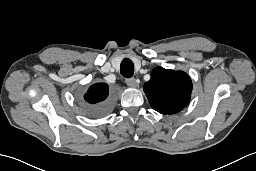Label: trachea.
Returning a JSON list of instances; mask_svg holds the SVG:
<instances>
[{"instance_id":"3493384b","label":"trachea","mask_w":256,"mask_h":171,"mask_svg":"<svg viewBox=\"0 0 256 171\" xmlns=\"http://www.w3.org/2000/svg\"><path fill=\"white\" fill-rule=\"evenodd\" d=\"M121 75L125 78H131L134 73V64L129 58H124L120 66Z\"/></svg>"}]
</instances>
